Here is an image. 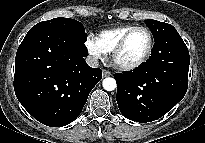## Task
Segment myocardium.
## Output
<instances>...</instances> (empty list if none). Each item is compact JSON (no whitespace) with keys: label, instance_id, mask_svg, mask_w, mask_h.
I'll return each instance as SVG.
<instances>
[{"label":"myocardium","instance_id":"f54148a6","mask_svg":"<svg viewBox=\"0 0 205 143\" xmlns=\"http://www.w3.org/2000/svg\"><path fill=\"white\" fill-rule=\"evenodd\" d=\"M137 30H144L148 34L149 43H148V47H147L146 52L144 53L142 58L135 63H132V64L119 63L117 61L118 56L125 48V45L129 39V37L132 35V33H134ZM153 43H154L153 34L148 27H146V26H134L123 35V37L120 39V41L117 43V45L115 46V48L111 52V62L114 65V67H116L117 69H119L121 71L136 70V69L140 68L141 66H143L147 62V60L149 59V57L152 53V50H153Z\"/></svg>","mask_w":205,"mask_h":143}]
</instances>
